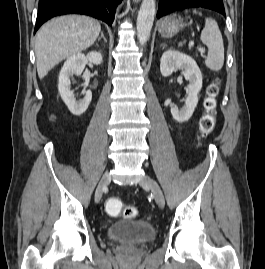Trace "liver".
Listing matches in <instances>:
<instances>
[{
	"mask_svg": "<svg viewBox=\"0 0 265 269\" xmlns=\"http://www.w3.org/2000/svg\"><path fill=\"white\" fill-rule=\"evenodd\" d=\"M100 23L90 17L67 15L45 23L37 32L35 56L40 79L58 63L94 44Z\"/></svg>",
	"mask_w": 265,
	"mask_h": 269,
	"instance_id": "liver-1",
	"label": "liver"
}]
</instances>
